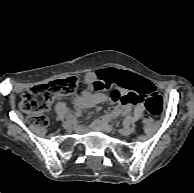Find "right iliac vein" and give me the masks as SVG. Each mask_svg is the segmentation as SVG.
Wrapping results in <instances>:
<instances>
[{"instance_id":"obj_1","label":"right iliac vein","mask_w":194,"mask_h":193,"mask_svg":"<svg viewBox=\"0 0 194 193\" xmlns=\"http://www.w3.org/2000/svg\"><path fill=\"white\" fill-rule=\"evenodd\" d=\"M63 127L67 130H71L73 128V125H74V121L72 120H67V121H64L63 122Z\"/></svg>"}]
</instances>
